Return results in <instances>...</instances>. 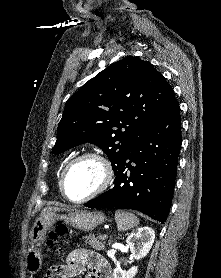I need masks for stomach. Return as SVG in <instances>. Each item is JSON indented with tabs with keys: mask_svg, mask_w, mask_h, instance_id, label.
<instances>
[{
	"mask_svg": "<svg viewBox=\"0 0 221 278\" xmlns=\"http://www.w3.org/2000/svg\"><path fill=\"white\" fill-rule=\"evenodd\" d=\"M62 224L80 229L82 231H91L98 225L106 221V217L100 212H89L86 210L72 211L67 215H57L54 212L41 214L34 222L29 233L30 248L27 252V262L29 275H38L42 272V264L40 258V250L35 245L44 241L47 231L55 228L58 222Z\"/></svg>",
	"mask_w": 221,
	"mask_h": 278,
	"instance_id": "0dacf381",
	"label": "stomach"
}]
</instances>
